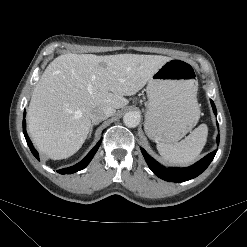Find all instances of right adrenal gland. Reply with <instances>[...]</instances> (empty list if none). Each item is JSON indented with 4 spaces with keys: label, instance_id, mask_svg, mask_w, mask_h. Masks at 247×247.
Instances as JSON below:
<instances>
[{
    "label": "right adrenal gland",
    "instance_id": "obj_1",
    "mask_svg": "<svg viewBox=\"0 0 247 247\" xmlns=\"http://www.w3.org/2000/svg\"><path fill=\"white\" fill-rule=\"evenodd\" d=\"M97 124H98V123H93V124L91 125L89 137L91 136V133H92V131H93V126H94V125H97Z\"/></svg>",
    "mask_w": 247,
    "mask_h": 247
}]
</instances>
